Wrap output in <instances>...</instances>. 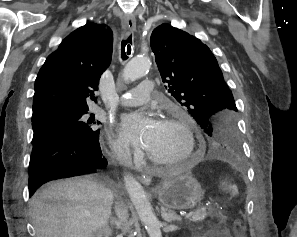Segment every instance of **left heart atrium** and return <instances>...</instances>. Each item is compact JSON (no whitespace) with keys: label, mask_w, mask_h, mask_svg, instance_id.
<instances>
[{"label":"left heart atrium","mask_w":297,"mask_h":237,"mask_svg":"<svg viewBox=\"0 0 297 237\" xmlns=\"http://www.w3.org/2000/svg\"><path fill=\"white\" fill-rule=\"evenodd\" d=\"M159 123L154 114L138 111L123 115L119 120V127L128 141L148 149L156 136Z\"/></svg>","instance_id":"1"}]
</instances>
